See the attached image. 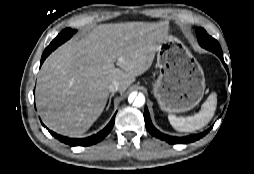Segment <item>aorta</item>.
Here are the masks:
<instances>
[{
    "instance_id": "aorta-1",
    "label": "aorta",
    "mask_w": 254,
    "mask_h": 174,
    "mask_svg": "<svg viewBox=\"0 0 254 174\" xmlns=\"http://www.w3.org/2000/svg\"><path fill=\"white\" fill-rule=\"evenodd\" d=\"M128 101L134 107H142L145 103V96L142 93L133 92L129 95Z\"/></svg>"
}]
</instances>
